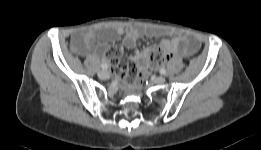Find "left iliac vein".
Segmentation results:
<instances>
[{
  "label": "left iliac vein",
  "mask_w": 261,
  "mask_h": 150,
  "mask_svg": "<svg viewBox=\"0 0 261 150\" xmlns=\"http://www.w3.org/2000/svg\"><path fill=\"white\" fill-rule=\"evenodd\" d=\"M153 81L156 84H163V83H165L166 79L163 76H159V77L154 78Z\"/></svg>",
  "instance_id": "obj_1"
}]
</instances>
